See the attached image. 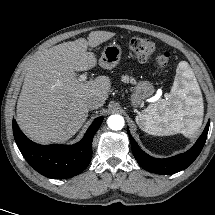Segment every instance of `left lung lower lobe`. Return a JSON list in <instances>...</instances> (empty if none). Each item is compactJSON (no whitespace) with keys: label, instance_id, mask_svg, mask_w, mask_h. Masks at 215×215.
Segmentation results:
<instances>
[{"label":"left lung lower lobe","instance_id":"1","mask_svg":"<svg viewBox=\"0 0 215 215\" xmlns=\"http://www.w3.org/2000/svg\"><path fill=\"white\" fill-rule=\"evenodd\" d=\"M209 124L210 121H208L202 135L198 138L191 149H189L185 153L166 159H156L147 155L143 150L139 148L128 130L134 157L140 164V166L149 172L168 175L184 170L190 164H192V162L198 157L199 153L201 152L207 138Z\"/></svg>","mask_w":215,"mask_h":215}]
</instances>
